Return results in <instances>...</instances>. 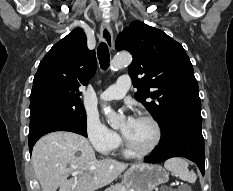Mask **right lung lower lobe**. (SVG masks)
I'll list each match as a JSON object with an SVG mask.
<instances>
[{
	"label": "right lung lower lobe",
	"mask_w": 233,
	"mask_h": 191,
	"mask_svg": "<svg viewBox=\"0 0 233 191\" xmlns=\"http://www.w3.org/2000/svg\"><path fill=\"white\" fill-rule=\"evenodd\" d=\"M54 131H70L77 134H81L87 137V132L82 131L79 128L64 122H42L37 126L30 128L28 136L29 151L32 152V148L36 141L43 135Z\"/></svg>",
	"instance_id": "obj_1"
}]
</instances>
